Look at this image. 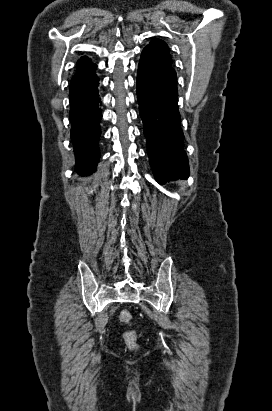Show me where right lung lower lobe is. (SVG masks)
<instances>
[{
    "label": "right lung lower lobe",
    "mask_w": 272,
    "mask_h": 411,
    "mask_svg": "<svg viewBox=\"0 0 272 411\" xmlns=\"http://www.w3.org/2000/svg\"><path fill=\"white\" fill-rule=\"evenodd\" d=\"M99 79L96 76L86 86L69 93L72 125L71 139L76 157V170L80 175H89L96 170L100 152L102 111L99 97Z\"/></svg>",
    "instance_id": "98d812e1"
}]
</instances>
